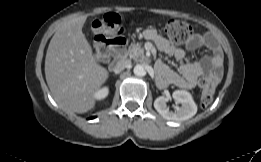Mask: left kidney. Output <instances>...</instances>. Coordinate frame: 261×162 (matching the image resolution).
Instances as JSON below:
<instances>
[{
    "mask_svg": "<svg viewBox=\"0 0 261 162\" xmlns=\"http://www.w3.org/2000/svg\"><path fill=\"white\" fill-rule=\"evenodd\" d=\"M176 103L181 104L175 111H170L167 106L168 97L160 96L154 101V108L165 119L173 121H184L192 118L197 112V106L188 91L176 90L172 94Z\"/></svg>",
    "mask_w": 261,
    "mask_h": 162,
    "instance_id": "left-kidney-1",
    "label": "left kidney"
}]
</instances>
